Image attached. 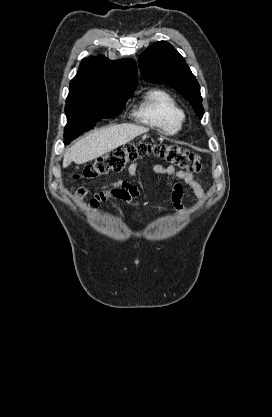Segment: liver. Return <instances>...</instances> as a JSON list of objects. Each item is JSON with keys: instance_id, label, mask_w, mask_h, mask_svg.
<instances>
[{"instance_id": "1", "label": "liver", "mask_w": 272, "mask_h": 417, "mask_svg": "<svg viewBox=\"0 0 272 417\" xmlns=\"http://www.w3.org/2000/svg\"><path fill=\"white\" fill-rule=\"evenodd\" d=\"M146 132V127L127 123L96 130L65 152L63 167L69 166L72 161L76 164L92 161Z\"/></svg>"}]
</instances>
